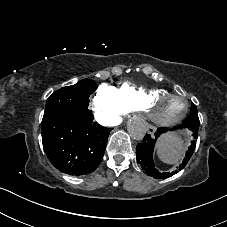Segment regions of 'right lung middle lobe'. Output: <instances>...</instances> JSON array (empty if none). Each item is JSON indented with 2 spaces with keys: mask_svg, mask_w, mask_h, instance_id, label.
<instances>
[{
  "mask_svg": "<svg viewBox=\"0 0 227 227\" xmlns=\"http://www.w3.org/2000/svg\"><path fill=\"white\" fill-rule=\"evenodd\" d=\"M97 89L89 79L55 91L46 101L43 120L67 111L88 110L89 96Z\"/></svg>",
  "mask_w": 227,
  "mask_h": 227,
  "instance_id": "right-lung-middle-lobe-1",
  "label": "right lung middle lobe"
}]
</instances>
